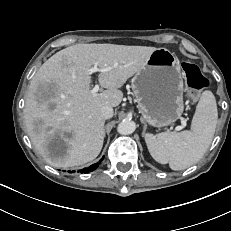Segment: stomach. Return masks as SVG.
<instances>
[{
	"instance_id": "1",
	"label": "stomach",
	"mask_w": 231,
	"mask_h": 231,
	"mask_svg": "<svg viewBox=\"0 0 231 231\" xmlns=\"http://www.w3.org/2000/svg\"><path fill=\"white\" fill-rule=\"evenodd\" d=\"M142 119L154 127L178 120L184 111L179 61L166 48L155 50L131 80Z\"/></svg>"
}]
</instances>
